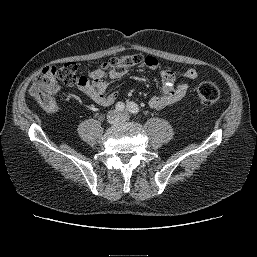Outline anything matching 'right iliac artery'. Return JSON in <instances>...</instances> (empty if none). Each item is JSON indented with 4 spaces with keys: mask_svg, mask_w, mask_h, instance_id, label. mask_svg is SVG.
<instances>
[{
    "mask_svg": "<svg viewBox=\"0 0 257 257\" xmlns=\"http://www.w3.org/2000/svg\"><path fill=\"white\" fill-rule=\"evenodd\" d=\"M125 109V104L123 102H118L116 104V110L123 111Z\"/></svg>",
    "mask_w": 257,
    "mask_h": 257,
    "instance_id": "1",
    "label": "right iliac artery"
}]
</instances>
